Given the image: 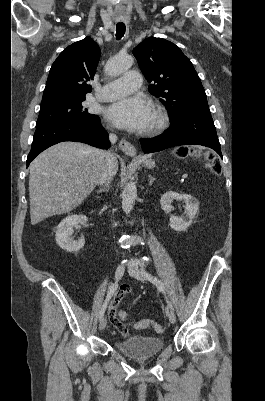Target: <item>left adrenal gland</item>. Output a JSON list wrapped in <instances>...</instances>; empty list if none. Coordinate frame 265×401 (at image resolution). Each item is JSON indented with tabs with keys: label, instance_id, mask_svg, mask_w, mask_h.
<instances>
[{
	"label": "left adrenal gland",
	"instance_id": "a2214340",
	"mask_svg": "<svg viewBox=\"0 0 265 401\" xmlns=\"http://www.w3.org/2000/svg\"><path fill=\"white\" fill-rule=\"evenodd\" d=\"M148 178H149V186H151V184H153L155 178H153L152 174H148Z\"/></svg>",
	"mask_w": 265,
	"mask_h": 401
}]
</instances>
